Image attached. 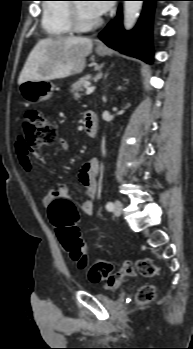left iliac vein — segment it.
<instances>
[{"label":"left iliac vein","mask_w":193,"mask_h":349,"mask_svg":"<svg viewBox=\"0 0 193 349\" xmlns=\"http://www.w3.org/2000/svg\"><path fill=\"white\" fill-rule=\"evenodd\" d=\"M122 208H123L122 202L120 200H116L114 203V210H113L114 214L116 216L121 215Z\"/></svg>","instance_id":"4c4485c4"}]
</instances>
